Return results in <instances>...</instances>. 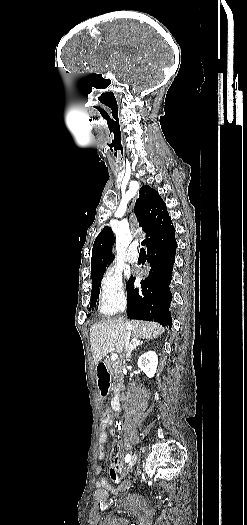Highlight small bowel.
Listing matches in <instances>:
<instances>
[{"label": "small bowel", "instance_id": "obj_1", "mask_svg": "<svg viewBox=\"0 0 247 525\" xmlns=\"http://www.w3.org/2000/svg\"><path fill=\"white\" fill-rule=\"evenodd\" d=\"M108 439V433L105 432V433H100L99 434V445H98V450H97V458L100 462H104L105 461V449H104V443L107 441ZM119 459H120V454H119V451L118 449L114 450L112 455H111V461H112V466L114 468V474L110 475V479L112 481H115L116 479L118 480L116 482V485L118 487H122L124 485V482L122 480H120L119 476H118V472H119ZM116 462V463H115ZM102 472V467L101 466H97L96 467V473L99 475L100 473ZM96 486L98 488H105L107 487V481L104 477H99L97 480H96ZM128 490L130 492H133L135 490V487L133 485H130L128 487ZM108 494L110 496H113L115 494V491L113 489H110L108 491Z\"/></svg>", "mask_w": 247, "mask_h": 525}]
</instances>
